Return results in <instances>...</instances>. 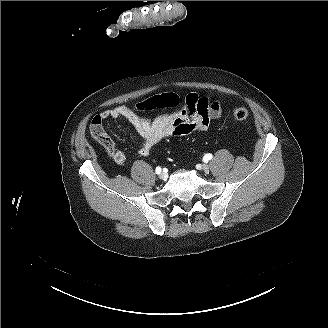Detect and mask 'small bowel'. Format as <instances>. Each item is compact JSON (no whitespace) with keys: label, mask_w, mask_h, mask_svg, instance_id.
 Returning a JSON list of instances; mask_svg holds the SVG:
<instances>
[{"label":"small bowel","mask_w":328,"mask_h":328,"mask_svg":"<svg viewBox=\"0 0 328 328\" xmlns=\"http://www.w3.org/2000/svg\"><path fill=\"white\" fill-rule=\"evenodd\" d=\"M221 113L219 101H212L197 94H188L175 111L160 116L156 124L147 117L137 115L127 106L114 107L99 116L102 120L126 119L141 139L139 154L148 156L153 146L164 139L207 131L212 121L219 118ZM108 153L117 164L125 163L126 155L122 150L113 147Z\"/></svg>","instance_id":"1"}]
</instances>
